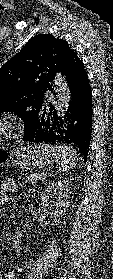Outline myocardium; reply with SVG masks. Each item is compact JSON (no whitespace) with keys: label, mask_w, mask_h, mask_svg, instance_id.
Masks as SVG:
<instances>
[{"label":"myocardium","mask_w":113,"mask_h":279,"mask_svg":"<svg viewBox=\"0 0 113 279\" xmlns=\"http://www.w3.org/2000/svg\"><path fill=\"white\" fill-rule=\"evenodd\" d=\"M21 129L19 118L13 113H3L0 115V136H7Z\"/></svg>","instance_id":"1"}]
</instances>
